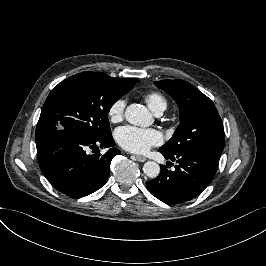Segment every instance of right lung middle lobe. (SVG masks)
Returning <instances> with one entry per match:
<instances>
[{"label": "right lung middle lobe", "instance_id": "1", "mask_svg": "<svg viewBox=\"0 0 266 266\" xmlns=\"http://www.w3.org/2000/svg\"><path fill=\"white\" fill-rule=\"evenodd\" d=\"M137 81L112 78L100 72H83L65 79L43 105L36 142L60 130L93 139L111 134L108 112Z\"/></svg>", "mask_w": 266, "mask_h": 266}]
</instances>
